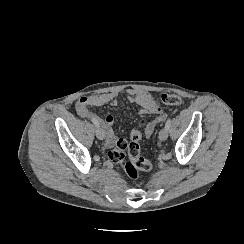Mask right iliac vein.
Instances as JSON below:
<instances>
[{"label":"right iliac vein","instance_id":"obj_1","mask_svg":"<svg viewBox=\"0 0 244 244\" xmlns=\"http://www.w3.org/2000/svg\"><path fill=\"white\" fill-rule=\"evenodd\" d=\"M96 136L99 140H103L105 138L104 131L101 127L96 128Z\"/></svg>","mask_w":244,"mask_h":244}]
</instances>
